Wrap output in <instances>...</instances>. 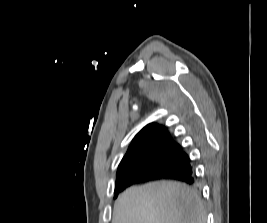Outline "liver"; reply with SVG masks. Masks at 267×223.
Returning <instances> with one entry per match:
<instances>
[{
	"mask_svg": "<svg viewBox=\"0 0 267 223\" xmlns=\"http://www.w3.org/2000/svg\"><path fill=\"white\" fill-rule=\"evenodd\" d=\"M112 223H206L201 198L187 185L159 181L125 190Z\"/></svg>",
	"mask_w": 267,
	"mask_h": 223,
	"instance_id": "liver-1",
	"label": "liver"
}]
</instances>
